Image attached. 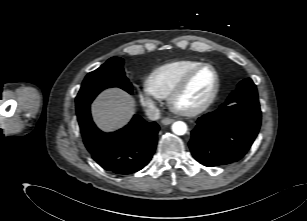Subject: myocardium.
I'll return each instance as SVG.
<instances>
[{"instance_id":"f54148a6","label":"myocardium","mask_w":307,"mask_h":221,"mask_svg":"<svg viewBox=\"0 0 307 221\" xmlns=\"http://www.w3.org/2000/svg\"><path fill=\"white\" fill-rule=\"evenodd\" d=\"M205 68H210L213 70L215 74V84L213 91L211 92L210 96L200 105L193 107L191 109H182L178 106V100L180 97L186 92L188 89L189 85L193 81V79L196 77V75L202 71ZM220 89V75L218 70L216 69L215 66L209 63H203L200 66L196 67L192 71H190L182 80L181 82L177 85V87L173 90V92L170 94L168 97V105L172 112L182 115V116H196L204 111H206L215 101L218 92Z\"/></svg>"}]
</instances>
